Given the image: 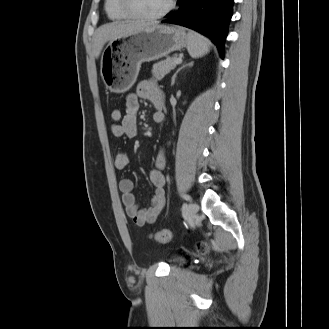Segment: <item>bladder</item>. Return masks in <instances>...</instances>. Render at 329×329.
I'll list each match as a JSON object with an SVG mask.
<instances>
[{
  "label": "bladder",
  "mask_w": 329,
  "mask_h": 329,
  "mask_svg": "<svg viewBox=\"0 0 329 329\" xmlns=\"http://www.w3.org/2000/svg\"><path fill=\"white\" fill-rule=\"evenodd\" d=\"M171 261H172V263H178L180 261V257L179 256H173Z\"/></svg>",
  "instance_id": "obj_1"
}]
</instances>
